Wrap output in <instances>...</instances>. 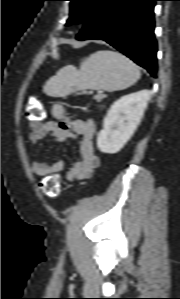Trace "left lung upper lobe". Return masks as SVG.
<instances>
[{
	"label": "left lung upper lobe",
	"instance_id": "5c2ea615",
	"mask_svg": "<svg viewBox=\"0 0 180 299\" xmlns=\"http://www.w3.org/2000/svg\"><path fill=\"white\" fill-rule=\"evenodd\" d=\"M70 16L66 25L84 22L99 0H69Z\"/></svg>",
	"mask_w": 180,
	"mask_h": 299
}]
</instances>
